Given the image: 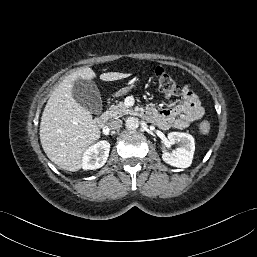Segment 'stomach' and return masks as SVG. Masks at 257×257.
<instances>
[{
  "mask_svg": "<svg viewBox=\"0 0 257 257\" xmlns=\"http://www.w3.org/2000/svg\"><path fill=\"white\" fill-rule=\"evenodd\" d=\"M129 89H130L129 87L124 88V89H121L120 91L116 92V93L114 94V96H120V95H122V94H125Z\"/></svg>",
  "mask_w": 257,
  "mask_h": 257,
  "instance_id": "1",
  "label": "stomach"
}]
</instances>
